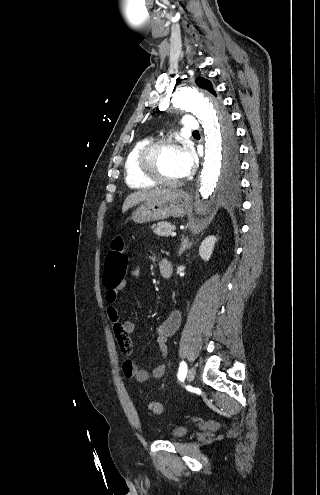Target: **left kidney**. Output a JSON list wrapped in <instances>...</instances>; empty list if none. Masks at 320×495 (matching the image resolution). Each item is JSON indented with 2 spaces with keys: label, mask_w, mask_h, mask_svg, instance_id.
<instances>
[{
  "label": "left kidney",
  "mask_w": 320,
  "mask_h": 495,
  "mask_svg": "<svg viewBox=\"0 0 320 495\" xmlns=\"http://www.w3.org/2000/svg\"><path fill=\"white\" fill-rule=\"evenodd\" d=\"M216 242L215 236H208L203 240L199 248V255L203 260L208 261L210 259Z\"/></svg>",
  "instance_id": "5707ae66"
}]
</instances>
